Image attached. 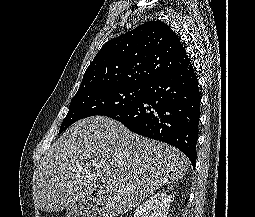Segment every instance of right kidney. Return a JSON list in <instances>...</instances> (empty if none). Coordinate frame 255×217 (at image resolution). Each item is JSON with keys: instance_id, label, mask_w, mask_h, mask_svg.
Instances as JSON below:
<instances>
[{"instance_id": "1", "label": "right kidney", "mask_w": 255, "mask_h": 217, "mask_svg": "<svg viewBox=\"0 0 255 217\" xmlns=\"http://www.w3.org/2000/svg\"><path fill=\"white\" fill-rule=\"evenodd\" d=\"M171 197L165 192H157L135 211L134 217H167Z\"/></svg>"}]
</instances>
